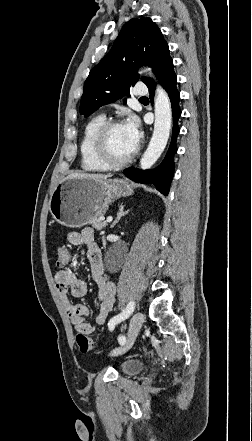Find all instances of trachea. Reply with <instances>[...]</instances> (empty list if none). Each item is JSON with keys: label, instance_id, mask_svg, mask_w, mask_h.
Listing matches in <instances>:
<instances>
[{"label": "trachea", "instance_id": "1", "mask_svg": "<svg viewBox=\"0 0 252 441\" xmlns=\"http://www.w3.org/2000/svg\"><path fill=\"white\" fill-rule=\"evenodd\" d=\"M147 99V97H141L139 100H146Z\"/></svg>", "mask_w": 252, "mask_h": 441}]
</instances>
